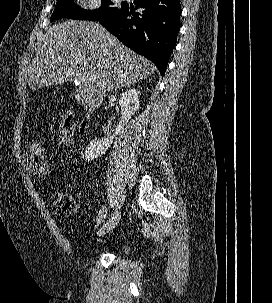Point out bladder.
Here are the masks:
<instances>
[{"mask_svg":"<svg viewBox=\"0 0 272 303\" xmlns=\"http://www.w3.org/2000/svg\"><path fill=\"white\" fill-rule=\"evenodd\" d=\"M111 251L118 256H125L129 252V247L125 242H116L112 245Z\"/></svg>","mask_w":272,"mask_h":303,"instance_id":"31cf9c89","label":"bladder"}]
</instances>
